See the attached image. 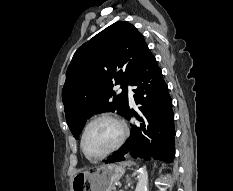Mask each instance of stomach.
Segmentation results:
<instances>
[{"label":"stomach","instance_id":"0dacf381","mask_svg":"<svg viewBox=\"0 0 233 191\" xmlns=\"http://www.w3.org/2000/svg\"><path fill=\"white\" fill-rule=\"evenodd\" d=\"M121 165L107 164L77 173L71 191H112L124 174Z\"/></svg>","mask_w":233,"mask_h":191}]
</instances>
